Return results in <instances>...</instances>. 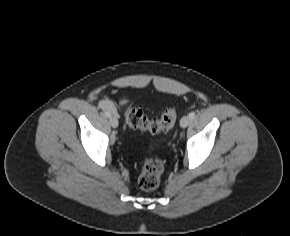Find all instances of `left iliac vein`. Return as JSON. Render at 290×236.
Instances as JSON below:
<instances>
[{"label":"left iliac vein","mask_w":290,"mask_h":236,"mask_svg":"<svg viewBox=\"0 0 290 236\" xmlns=\"http://www.w3.org/2000/svg\"><path fill=\"white\" fill-rule=\"evenodd\" d=\"M189 123H190L189 116H183L182 119H181V121H180V126L182 128H185V127H187L189 125Z\"/></svg>","instance_id":"left-iliac-vein-1"}]
</instances>
